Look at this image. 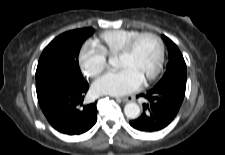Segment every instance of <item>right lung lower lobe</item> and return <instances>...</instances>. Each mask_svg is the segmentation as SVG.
<instances>
[{
	"mask_svg": "<svg viewBox=\"0 0 225 155\" xmlns=\"http://www.w3.org/2000/svg\"><path fill=\"white\" fill-rule=\"evenodd\" d=\"M88 88L86 81H65L38 97L39 105L53 128L64 134L79 135L96 123V103L83 105Z\"/></svg>",
	"mask_w": 225,
	"mask_h": 155,
	"instance_id": "98d812e1",
	"label": "right lung lower lobe"
}]
</instances>
